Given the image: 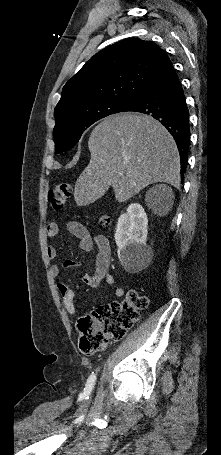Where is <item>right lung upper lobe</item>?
I'll return each mask as SVG.
<instances>
[{
    "label": "right lung upper lobe",
    "instance_id": "right-lung-upper-lobe-1",
    "mask_svg": "<svg viewBox=\"0 0 221 455\" xmlns=\"http://www.w3.org/2000/svg\"><path fill=\"white\" fill-rule=\"evenodd\" d=\"M167 60L164 50L140 39L106 47L65 84L55 119L103 101L132 103Z\"/></svg>",
    "mask_w": 221,
    "mask_h": 455
}]
</instances>
